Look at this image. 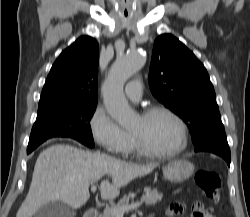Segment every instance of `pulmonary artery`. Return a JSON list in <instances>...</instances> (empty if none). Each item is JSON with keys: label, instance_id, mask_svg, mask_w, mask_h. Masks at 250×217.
I'll return each mask as SVG.
<instances>
[{"label": "pulmonary artery", "instance_id": "1", "mask_svg": "<svg viewBox=\"0 0 250 217\" xmlns=\"http://www.w3.org/2000/svg\"><path fill=\"white\" fill-rule=\"evenodd\" d=\"M126 96L132 101H139L142 97V87L140 80H133L125 87Z\"/></svg>", "mask_w": 250, "mask_h": 217}]
</instances>
